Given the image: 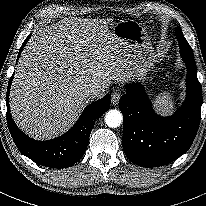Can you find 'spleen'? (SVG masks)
<instances>
[{
	"mask_svg": "<svg viewBox=\"0 0 206 206\" xmlns=\"http://www.w3.org/2000/svg\"><path fill=\"white\" fill-rule=\"evenodd\" d=\"M156 107L162 112L169 113L174 108V102L169 93H162L155 98Z\"/></svg>",
	"mask_w": 206,
	"mask_h": 206,
	"instance_id": "obj_1",
	"label": "spleen"
}]
</instances>
